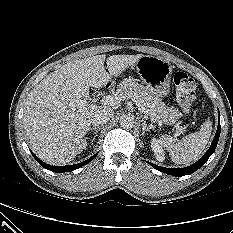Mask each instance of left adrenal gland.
Masks as SVG:
<instances>
[{"label":"left adrenal gland","instance_id":"a2214340","mask_svg":"<svg viewBox=\"0 0 233 233\" xmlns=\"http://www.w3.org/2000/svg\"><path fill=\"white\" fill-rule=\"evenodd\" d=\"M142 135L144 136L145 135V131H150V129L153 128L152 124H150L149 126L147 125L146 121L144 118H142Z\"/></svg>","mask_w":233,"mask_h":233}]
</instances>
